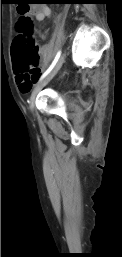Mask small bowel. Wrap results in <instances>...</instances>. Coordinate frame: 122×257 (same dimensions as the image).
<instances>
[{
	"label": "small bowel",
	"mask_w": 122,
	"mask_h": 257,
	"mask_svg": "<svg viewBox=\"0 0 122 257\" xmlns=\"http://www.w3.org/2000/svg\"><path fill=\"white\" fill-rule=\"evenodd\" d=\"M51 14H52L51 9L48 6L39 5V6L33 7V10H31L29 13V18L36 19L37 21H44V20L50 18ZM42 53H43V65H45L48 63L50 56H49L46 48L42 49ZM37 77L31 78L30 80H28V79H26L25 76L17 73L16 74V82L18 84V88H19L20 92L21 93L29 92L33 82L37 79Z\"/></svg>",
	"instance_id": "small-bowel-1"
}]
</instances>
